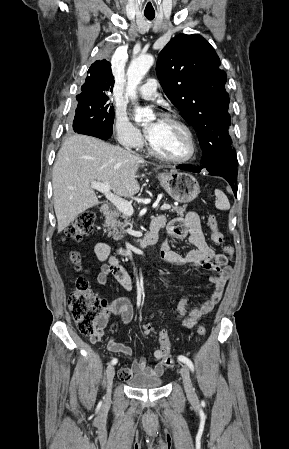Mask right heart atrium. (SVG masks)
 Here are the masks:
<instances>
[{"instance_id": "right-heart-atrium-1", "label": "right heart atrium", "mask_w": 289, "mask_h": 449, "mask_svg": "<svg viewBox=\"0 0 289 449\" xmlns=\"http://www.w3.org/2000/svg\"><path fill=\"white\" fill-rule=\"evenodd\" d=\"M115 135L118 143L126 148L137 149L143 144V137L128 119L123 111H117L114 123Z\"/></svg>"}]
</instances>
